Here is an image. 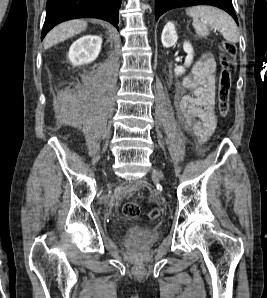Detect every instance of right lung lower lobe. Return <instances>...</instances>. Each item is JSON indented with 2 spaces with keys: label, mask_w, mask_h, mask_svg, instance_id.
<instances>
[{
  "label": "right lung lower lobe",
  "mask_w": 267,
  "mask_h": 298,
  "mask_svg": "<svg viewBox=\"0 0 267 298\" xmlns=\"http://www.w3.org/2000/svg\"><path fill=\"white\" fill-rule=\"evenodd\" d=\"M120 4L121 0H47L41 40L57 24L75 18L103 19L119 30Z\"/></svg>",
  "instance_id": "98d812e1"
}]
</instances>
